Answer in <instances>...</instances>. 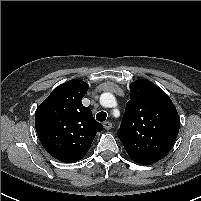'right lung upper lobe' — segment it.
I'll return each mask as SVG.
<instances>
[{"mask_svg": "<svg viewBox=\"0 0 201 201\" xmlns=\"http://www.w3.org/2000/svg\"><path fill=\"white\" fill-rule=\"evenodd\" d=\"M89 85L73 79L56 87L35 112V127L41 144L57 160L77 162L103 130L82 98Z\"/></svg>", "mask_w": 201, "mask_h": 201, "instance_id": "obj_1", "label": "right lung upper lobe"}]
</instances>
